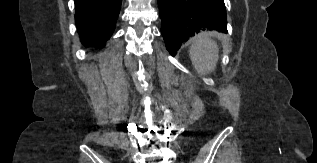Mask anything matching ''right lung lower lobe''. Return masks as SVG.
I'll use <instances>...</instances> for the list:
<instances>
[{"instance_id": "98d812e1", "label": "right lung lower lobe", "mask_w": 317, "mask_h": 163, "mask_svg": "<svg viewBox=\"0 0 317 163\" xmlns=\"http://www.w3.org/2000/svg\"><path fill=\"white\" fill-rule=\"evenodd\" d=\"M122 0H75V21L86 46L104 45L114 31Z\"/></svg>"}]
</instances>
